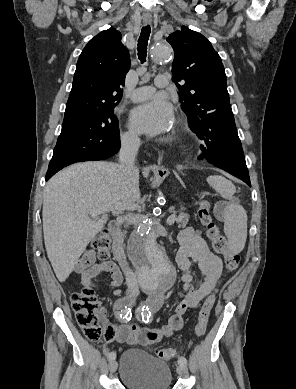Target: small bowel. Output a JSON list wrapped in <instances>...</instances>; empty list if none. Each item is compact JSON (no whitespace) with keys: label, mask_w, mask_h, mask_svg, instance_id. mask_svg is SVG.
<instances>
[{"label":"small bowel","mask_w":296,"mask_h":389,"mask_svg":"<svg viewBox=\"0 0 296 389\" xmlns=\"http://www.w3.org/2000/svg\"><path fill=\"white\" fill-rule=\"evenodd\" d=\"M217 216L222 218L225 205L219 204L216 209ZM180 249L176 256L178 268L182 272V288L178 292L179 299L174 314L166 325L161 328H146L135 324L123 323L115 333V341L131 345H149L161 341L179 331L184 324L183 316L188 309L197 307L200 302L213 290L222 273V261L208 247L201 232L194 227L183 229L178 236ZM191 261L197 263L203 283L193 288ZM101 272L110 274V289L118 292L123 283V273L113 261L96 263L95 252L86 250L75 264L73 273L80 277L83 285H89L94 277Z\"/></svg>","instance_id":"1"}]
</instances>
